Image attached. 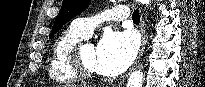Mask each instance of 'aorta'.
Wrapping results in <instances>:
<instances>
[{
  "mask_svg": "<svg viewBox=\"0 0 205 87\" xmlns=\"http://www.w3.org/2000/svg\"><path fill=\"white\" fill-rule=\"evenodd\" d=\"M140 3L149 5L150 0H139ZM143 84V72L141 69L134 70L127 82L126 87H142Z\"/></svg>",
  "mask_w": 205,
  "mask_h": 87,
  "instance_id": "aorta-1",
  "label": "aorta"
}]
</instances>
